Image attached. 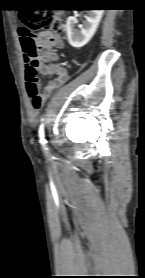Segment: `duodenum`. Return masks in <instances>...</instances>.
<instances>
[{
  "label": "duodenum",
  "instance_id": "duodenum-1",
  "mask_svg": "<svg viewBox=\"0 0 145 278\" xmlns=\"http://www.w3.org/2000/svg\"><path fill=\"white\" fill-rule=\"evenodd\" d=\"M50 95H51V93H49V92L45 93V97H49Z\"/></svg>",
  "mask_w": 145,
  "mask_h": 278
}]
</instances>
